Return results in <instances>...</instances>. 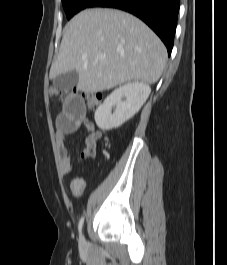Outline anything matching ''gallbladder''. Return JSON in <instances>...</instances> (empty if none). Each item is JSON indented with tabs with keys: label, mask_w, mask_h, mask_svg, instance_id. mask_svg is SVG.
I'll return each instance as SVG.
<instances>
[{
	"label": "gallbladder",
	"mask_w": 227,
	"mask_h": 265,
	"mask_svg": "<svg viewBox=\"0 0 227 265\" xmlns=\"http://www.w3.org/2000/svg\"><path fill=\"white\" fill-rule=\"evenodd\" d=\"M78 82V73L75 70L58 75L53 80L54 87L58 89H70Z\"/></svg>",
	"instance_id": "obj_1"
}]
</instances>
